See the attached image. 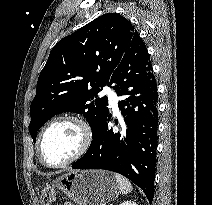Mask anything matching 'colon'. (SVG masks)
<instances>
[{"label": "colon", "instance_id": "colon-1", "mask_svg": "<svg viewBox=\"0 0 212 205\" xmlns=\"http://www.w3.org/2000/svg\"><path fill=\"white\" fill-rule=\"evenodd\" d=\"M57 190L52 183H47L41 190V203L42 205H50L56 200Z\"/></svg>", "mask_w": 212, "mask_h": 205}]
</instances>
